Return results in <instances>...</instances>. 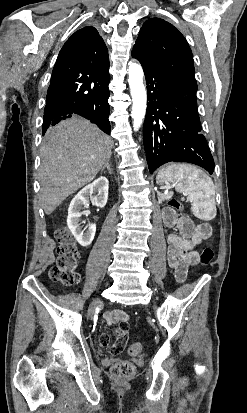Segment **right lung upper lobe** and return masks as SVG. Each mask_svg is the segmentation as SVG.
<instances>
[{
  "label": "right lung upper lobe",
  "mask_w": 247,
  "mask_h": 413,
  "mask_svg": "<svg viewBox=\"0 0 247 413\" xmlns=\"http://www.w3.org/2000/svg\"><path fill=\"white\" fill-rule=\"evenodd\" d=\"M108 68L107 47L98 31L87 26L75 32L63 45L53 70L91 73Z\"/></svg>",
  "instance_id": "right-lung-upper-lobe-1"
}]
</instances>
